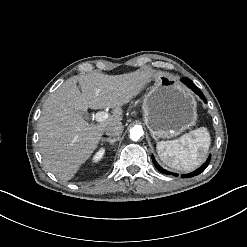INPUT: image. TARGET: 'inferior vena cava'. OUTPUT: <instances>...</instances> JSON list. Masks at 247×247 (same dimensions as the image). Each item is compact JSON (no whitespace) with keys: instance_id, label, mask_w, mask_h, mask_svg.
<instances>
[{"instance_id":"obj_1","label":"inferior vena cava","mask_w":247,"mask_h":247,"mask_svg":"<svg viewBox=\"0 0 247 247\" xmlns=\"http://www.w3.org/2000/svg\"><path fill=\"white\" fill-rule=\"evenodd\" d=\"M124 127L120 122H114L105 127L104 131L108 136H120L123 133Z\"/></svg>"}]
</instances>
